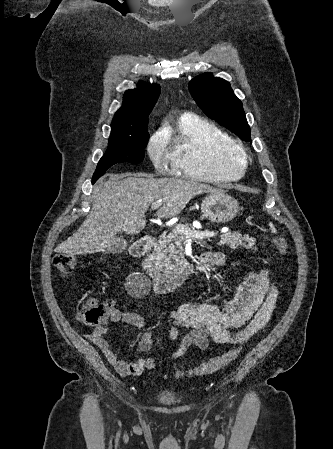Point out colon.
Here are the masks:
<instances>
[{
  "instance_id": "5ec220e1",
  "label": "colon",
  "mask_w": 333,
  "mask_h": 449,
  "mask_svg": "<svg viewBox=\"0 0 333 449\" xmlns=\"http://www.w3.org/2000/svg\"><path fill=\"white\" fill-rule=\"evenodd\" d=\"M273 244L277 251L281 254H287L289 251L288 242L281 236L273 237ZM54 267L62 275L72 273L76 266V257L70 253L58 252L55 253L52 259ZM115 310L114 304L111 301L91 302L85 305L79 313V319L86 325L93 327L105 328L109 317ZM240 352V345L231 348L223 354L210 358L203 362L198 367L177 373V377L186 375H204L219 371L221 368L232 363Z\"/></svg>"
}]
</instances>
